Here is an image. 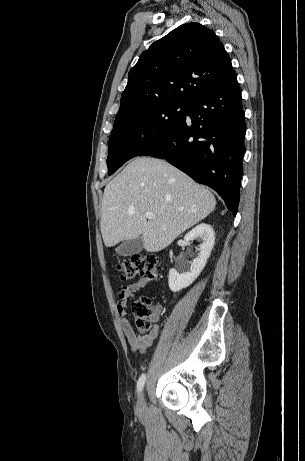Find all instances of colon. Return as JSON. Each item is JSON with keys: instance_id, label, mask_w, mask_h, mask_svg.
Wrapping results in <instances>:
<instances>
[{"instance_id": "colon-1", "label": "colon", "mask_w": 305, "mask_h": 461, "mask_svg": "<svg viewBox=\"0 0 305 461\" xmlns=\"http://www.w3.org/2000/svg\"><path fill=\"white\" fill-rule=\"evenodd\" d=\"M160 259L156 255H133L125 258L118 264V270L123 280H131L136 277L153 279L158 276ZM131 312L135 318V326L141 332L150 331L152 328L153 311L150 307V299L143 296L131 304Z\"/></svg>"}]
</instances>
